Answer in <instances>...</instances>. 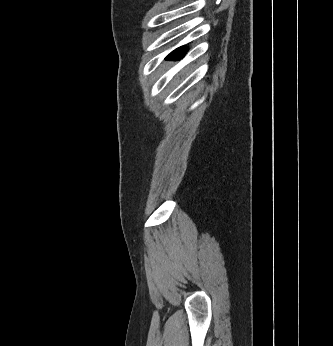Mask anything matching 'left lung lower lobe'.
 Instances as JSON below:
<instances>
[{
	"label": "left lung lower lobe",
	"mask_w": 333,
	"mask_h": 346,
	"mask_svg": "<svg viewBox=\"0 0 333 346\" xmlns=\"http://www.w3.org/2000/svg\"><path fill=\"white\" fill-rule=\"evenodd\" d=\"M187 52V49H182V47H179L177 49H175L174 51H172L167 57L166 59H170V60H178L180 58H182Z\"/></svg>",
	"instance_id": "left-lung-lower-lobe-1"
}]
</instances>
